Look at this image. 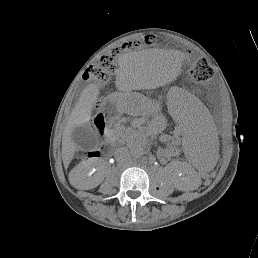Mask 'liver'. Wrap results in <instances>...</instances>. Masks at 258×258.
<instances>
[{"mask_svg":"<svg viewBox=\"0 0 258 258\" xmlns=\"http://www.w3.org/2000/svg\"><path fill=\"white\" fill-rule=\"evenodd\" d=\"M174 59L178 62L177 57ZM123 69L119 72L116 80V87L121 91L132 89L133 81L139 76H161L166 75L161 66L146 60H136L124 58ZM128 67V69H126ZM99 95L98 86L88 85L82 92L78 103L71 113V117L66 125L62 137V160L65 166H68L77 150L76 143L72 140V131L76 127L86 125L91 120L93 106L96 104ZM74 168L69 173V181L78 189H90L93 184L91 181L78 180L74 176Z\"/></svg>","mask_w":258,"mask_h":258,"instance_id":"1","label":"liver"}]
</instances>
